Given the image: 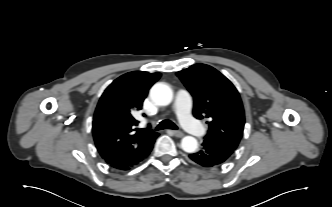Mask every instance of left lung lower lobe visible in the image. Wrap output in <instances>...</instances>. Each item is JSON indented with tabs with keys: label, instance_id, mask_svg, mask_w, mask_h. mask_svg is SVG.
Returning <instances> with one entry per match:
<instances>
[{
	"label": "left lung lower lobe",
	"instance_id": "1",
	"mask_svg": "<svg viewBox=\"0 0 332 207\" xmlns=\"http://www.w3.org/2000/svg\"><path fill=\"white\" fill-rule=\"evenodd\" d=\"M227 147L218 143L204 139L201 149L189 155V158L195 163L205 168L217 167L224 163L233 153Z\"/></svg>",
	"mask_w": 332,
	"mask_h": 207
}]
</instances>
